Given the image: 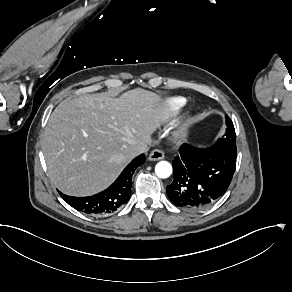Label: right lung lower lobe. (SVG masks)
I'll return each mask as SVG.
<instances>
[{"instance_id":"1","label":"right lung lower lobe","mask_w":292,"mask_h":292,"mask_svg":"<svg viewBox=\"0 0 292 292\" xmlns=\"http://www.w3.org/2000/svg\"><path fill=\"white\" fill-rule=\"evenodd\" d=\"M145 162L141 154L132 160L122 171L117 180L106 190L88 197L60 196L73 208L89 215L109 214L127 203L131 194V179L135 169Z\"/></svg>"}]
</instances>
